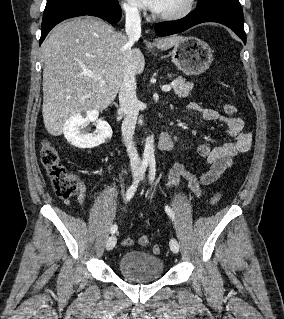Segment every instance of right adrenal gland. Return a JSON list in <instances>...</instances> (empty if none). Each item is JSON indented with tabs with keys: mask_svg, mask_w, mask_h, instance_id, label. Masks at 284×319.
I'll return each mask as SVG.
<instances>
[{
	"mask_svg": "<svg viewBox=\"0 0 284 319\" xmlns=\"http://www.w3.org/2000/svg\"><path fill=\"white\" fill-rule=\"evenodd\" d=\"M115 106L118 107L117 103H115Z\"/></svg>",
	"mask_w": 284,
	"mask_h": 319,
	"instance_id": "1",
	"label": "right adrenal gland"
}]
</instances>
